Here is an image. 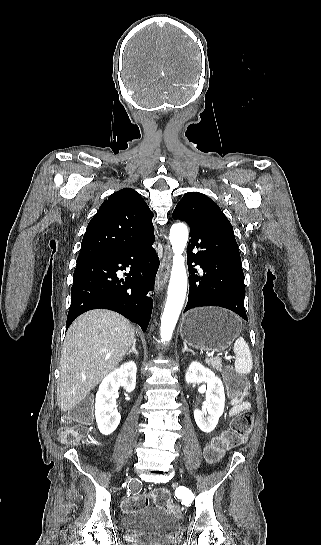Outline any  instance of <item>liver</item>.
Here are the masks:
<instances>
[{"label":"liver","mask_w":321,"mask_h":545,"mask_svg":"<svg viewBox=\"0 0 321 545\" xmlns=\"http://www.w3.org/2000/svg\"><path fill=\"white\" fill-rule=\"evenodd\" d=\"M135 331L127 319L105 309L88 311L67 331L60 359L57 403L77 407L129 351ZM108 359V361H105Z\"/></svg>","instance_id":"6515ba94"}]
</instances>
